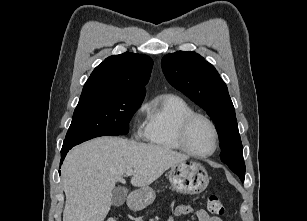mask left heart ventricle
<instances>
[{
    "mask_svg": "<svg viewBox=\"0 0 307 221\" xmlns=\"http://www.w3.org/2000/svg\"><path fill=\"white\" fill-rule=\"evenodd\" d=\"M187 141L194 152L205 154L213 149L214 134L211 127L204 120L198 119L191 125Z\"/></svg>",
    "mask_w": 307,
    "mask_h": 221,
    "instance_id": "1",
    "label": "left heart ventricle"
}]
</instances>
